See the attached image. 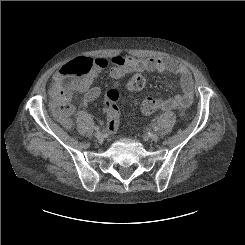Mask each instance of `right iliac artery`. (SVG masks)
<instances>
[{
  "instance_id": "obj_1",
  "label": "right iliac artery",
  "mask_w": 245,
  "mask_h": 245,
  "mask_svg": "<svg viewBox=\"0 0 245 245\" xmlns=\"http://www.w3.org/2000/svg\"><path fill=\"white\" fill-rule=\"evenodd\" d=\"M95 130L98 131L99 130V127L98 126H95Z\"/></svg>"
}]
</instances>
